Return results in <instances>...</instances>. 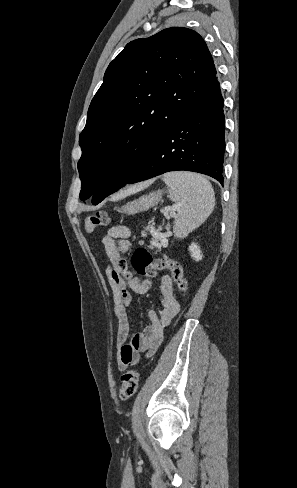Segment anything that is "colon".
<instances>
[{
  "label": "colon",
  "instance_id": "obj_1",
  "mask_svg": "<svg viewBox=\"0 0 297 488\" xmlns=\"http://www.w3.org/2000/svg\"><path fill=\"white\" fill-rule=\"evenodd\" d=\"M108 223V213L99 211L88 219L86 228L89 232H92L96 227L105 226ZM131 263L136 273L148 280L155 278L160 271L168 270L174 278L178 290L184 292L187 289V281L184 278L182 266L166 256L153 255L148 250L140 248L133 253ZM114 273L125 278L131 277L126 259L119 255L115 258ZM138 382L139 374L136 370L129 369L125 371L118 386L120 399L128 400L134 396Z\"/></svg>",
  "mask_w": 297,
  "mask_h": 488
}]
</instances>
